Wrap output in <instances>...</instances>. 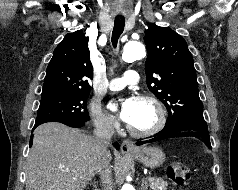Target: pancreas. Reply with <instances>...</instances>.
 I'll return each mask as SVG.
<instances>
[{
    "mask_svg": "<svg viewBox=\"0 0 238 190\" xmlns=\"http://www.w3.org/2000/svg\"><path fill=\"white\" fill-rule=\"evenodd\" d=\"M149 183L152 190H167L168 183L161 178H153Z\"/></svg>",
    "mask_w": 238,
    "mask_h": 190,
    "instance_id": "pancreas-1",
    "label": "pancreas"
}]
</instances>
